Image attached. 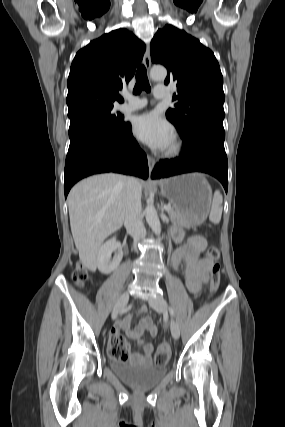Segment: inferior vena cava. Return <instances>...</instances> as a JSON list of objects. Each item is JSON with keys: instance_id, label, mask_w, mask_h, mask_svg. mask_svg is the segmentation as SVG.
Segmentation results:
<instances>
[{"instance_id": "obj_1", "label": "inferior vena cava", "mask_w": 285, "mask_h": 427, "mask_svg": "<svg viewBox=\"0 0 285 427\" xmlns=\"http://www.w3.org/2000/svg\"><path fill=\"white\" fill-rule=\"evenodd\" d=\"M141 185L134 177H129L127 182V203L124 225L132 236L134 245L146 236V229L141 217Z\"/></svg>"}]
</instances>
